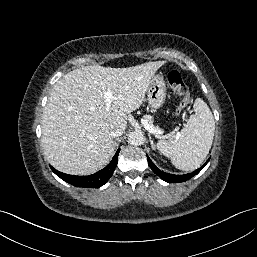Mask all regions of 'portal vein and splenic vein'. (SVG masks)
<instances>
[{
	"label": "portal vein and splenic vein",
	"mask_w": 257,
	"mask_h": 257,
	"mask_svg": "<svg viewBox=\"0 0 257 257\" xmlns=\"http://www.w3.org/2000/svg\"><path fill=\"white\" fill-rule=\"evenodd\" d=\"M103 97H104L105 102H106L105 109H106V111H109L110 107H111V103L114 100V96H113L112 92L110 90H108V91L103 93ZM143 125L150 133L162 134V132L160 130L151 126L146 120H143Z\"/></svg>",
	"instance_id": "obj_1"
}]
</instances>
